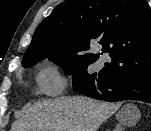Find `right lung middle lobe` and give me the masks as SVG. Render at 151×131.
<instances>
[{
  "label": "right lung middle lobe",
  "instance_id": "right-lung-middle-lobe-1",
  "mask_svg": "<svg viewBox=\"0 0 151 131\" xmlns=\"http://www.w3.org/2000/svg\"><path fill=\"white\" fill-rule=\"evenodd\" d=\"M46 57L63 67L68 74L73 75L72 81L77 78L103 77L102 72L98 74L88 73V66L94 63L95 60L85 53H79L76 48L68 45H35L28 47L22 65L29 67Z\"/></svg>",
  "mask_w": 151,
  "mask_h": 131
}]
</instances>
